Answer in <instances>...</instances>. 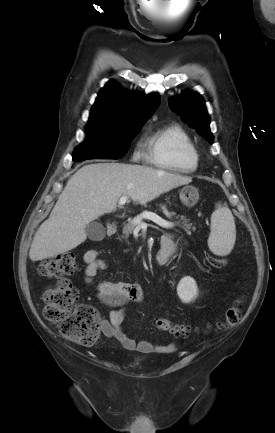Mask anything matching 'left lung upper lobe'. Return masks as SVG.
Returning <instances> with one entry per match:
<instances>
[{
    "label": "left lung upper lobe",
    "mask_w": 275,
    "mask_h": 433,
    "mask_svg": "<svg viewBox=\"0 0 275 433\" xmlns=\"http://www.w3.org/2000/svg\"><path fill=\"white\" fill-rule=\"evenodd\" d=\"M169 106L179 113L182 119L203 136L210 144L213 135L210 132V118L204 100L196 92H188L169 100Z\"/></svg>",
    "instance_id": "5c2ea615"
}]
</instances>
